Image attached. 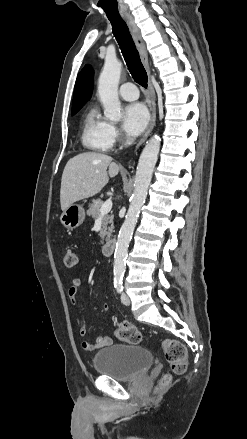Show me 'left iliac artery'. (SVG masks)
<instances>
[{
	"label": "left iliac artery",
	"mask_w": 247,
	"mask_h": 439,
	"mask_svg": "<svg viewBox=\"0 0 247 439\" xmlns=\"http://www.w3.org/2000/svg\"><path fill=\"white\" fill-rule=\"evenodd\" d=\"M115 288L117 290L118 293H121L123 291V286L122 283L120 284H115Z\"/></svg>",
	"instance_id": "1"
}]
</instances>
